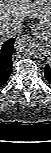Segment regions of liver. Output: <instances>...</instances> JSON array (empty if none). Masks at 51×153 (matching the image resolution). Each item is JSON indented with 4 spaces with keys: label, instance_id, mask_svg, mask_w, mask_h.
Returning a JSON list of instances; mask_svg holds the SVG:
<instances>
[{
    "label": "liver",
    "instance_id": "liver-1",
    "mask_svg": "<svg viewBox=\"0 0 51 153\" xmlns=\"http://www.w3.org/2000/svg\"><path fill=\"white\" fill-rule=\"evenodd\" d=\"M24 18H37L43 25L50 26V0H0L1 43L5 40L2 30L22 23Z\"/></svg>",
    "mask_w": 51,
    "mask_h": 153
}]
</instances>
